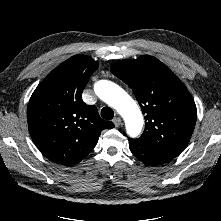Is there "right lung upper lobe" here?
Listing matches in <instances>:
<instances>
[{"label":"right lung upper lobe","instance_id":"1","mask_svg":"<svg viewBox=\"0 0 221 221\" xmlns=\"http://www.w3.org/2000/svg\"><path fill=\"white\" fill-rule=\"evenodd\" d=\"M98 65L89 56L75 55L51 71L30 98V135L41 153L55 163H79L96 146L101 131L114 127L81 97Z\"/></svg>","mask_w":221,"mask_h":221}]
</instances>
